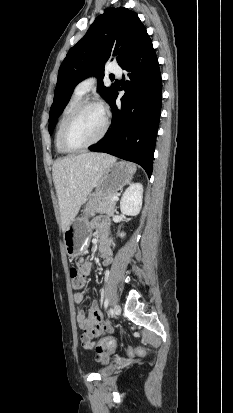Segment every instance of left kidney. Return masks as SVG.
<instances>
[{"label": "left kidney", "mask_w": 233, "mask_h": 413, "mask_svg": "<svg viewBox=\"0 0 233 413\" xmlns=\"http://www.w3.org/2000/svg\"><path fill=\"white\" fill-rule=\"evenodd\" d=\"M143 186L141 183L131 184L124 192L120 201V210L127 216H136L142 208ZM120 237H124L125 233H119Z\"/></svg>", "instance_id": "5707ae66"}]
</instances>
